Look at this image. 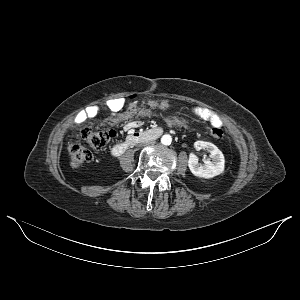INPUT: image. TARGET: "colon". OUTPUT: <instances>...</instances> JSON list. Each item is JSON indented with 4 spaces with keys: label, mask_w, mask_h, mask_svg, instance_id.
I'll use <instances>...</instances> for the list:
<instances>
[{
    "label": "colon",
    "mask_w": 300,
    "mask_h": 300,
    "mask_svg": "<svg viewBox=\"0 0 300 300\" xmlns=\"http://www.w3.org/2000/svg\"><path fill=\"white\" fill-rule=\"evenodd\" d=\"M167 125L187 126L189 119L178 112L168 113L164 116ZM211 135L216 139L223 138V131L214 125L209 127ZM113 130L100 129L96 127H85L82 132V137L93 149L100 151L106 148L115 138ZM70 165L74 169H79L92 159V152L80 143L74 142L68 149Z\"/></svg>",
    "instance_id": "1"
}]
</instances>
